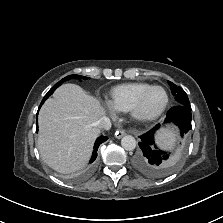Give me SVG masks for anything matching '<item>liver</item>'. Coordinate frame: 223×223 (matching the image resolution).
<instances>
[{
	"mask_svg": "<svg viewBox=\"0 0 223 223\" xmlns=\"http://www.w3.org/2000/svg\"><path fill=\"white\" fill-rule=\"evenodd\" d=\"M105 109L80 86L63 84L40 109L38 149L44 162L59 173L80 170L99 135L94 123Z\"/></svg>",
	"mask_w": 223,
	"mask_h": 223,
	"instance_id": "6515ba94",
	"label": "liver"
}]
</instances>
